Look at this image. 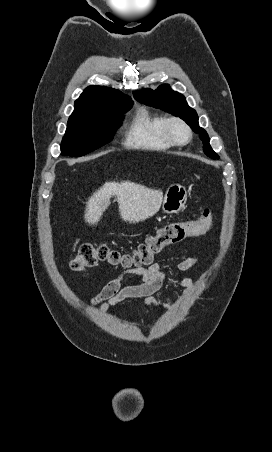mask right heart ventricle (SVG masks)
<instances>
[{
	"label": "right heart ventricle",
	"instance_id": "1",
	"mask_svg": "<svg viewBox=\"0 0 272 452\" xmlns=\"http://www.w3.org/2000/svg\"><path fill=\"white\" fill-rule=\"evenodd\" d=\"M167 116L140 108L125 130L124 143L131 149L165 151L173 144L165 133Z\"/></svg>",
	"mask_w": 272,
	"mask_h": 452
}]
</instances>
